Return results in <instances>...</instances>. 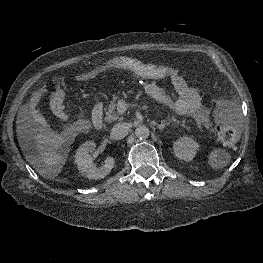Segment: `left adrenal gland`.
I'll return each instance as SVG.
<instances>
[{
  "mask_svg": "<svg viewBox=\"0 0 263 263\" xmlns=\"http://www.w3.org/2000/svg\"><path fill=\"white\" fill-rule=\"evenodd\" d=\"M169 121H162L161 124H157L156 122H153V125H156L160 131H162L166 125H169Z\"/></svg>",
  "mask_w": 263,
  "mask_h": 263,
  "instance_id": "1",
  "label": "left adrenal gland"
}]
</instances>
